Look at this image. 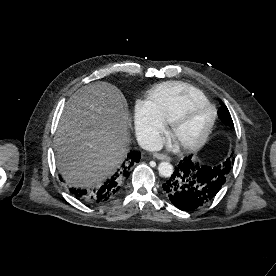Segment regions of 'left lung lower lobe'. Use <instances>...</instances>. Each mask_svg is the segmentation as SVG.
<instances>
[{
  "label": "left lung lower lobe",
  "instance_id": "0a47b994",
  "mask_svg": "<svg viewBox=\"0 0 276 276\" xmlns=\"http://www.w3.org/2000/svg\"><path fill=\"white\" fill-rule=\"evenodd\" d=\"M227 169L199 164L191 156L180 161L163 184L165 194L181 210H193L210 202L226 182Z\"/></svg>",
  "mask_w": 276,
  "mask_h": 276
}]
</instances>
